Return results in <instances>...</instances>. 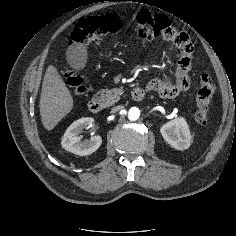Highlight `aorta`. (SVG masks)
<instances>
[{
	"mask_svg": "<svg viewBox=\"0 0 236 236\" xmlns=\"http://www.w3.org/2000/svg\"><path fill=\"white\" fill-rule=\"evenodd\" d=\"M140 116V110L137 107H132L128 111V118L131 121H136Z\"/></svg>",
	"mask_w": 236,
	"mask_h": 236,
	"instance_id": "aorta-1",
	"label": "aorta"
}]
</instances>
